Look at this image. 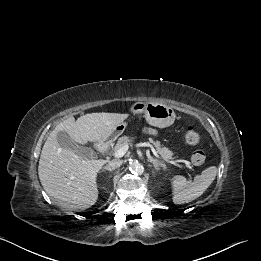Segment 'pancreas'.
Here are the masks:
<instances>
[{
  "instance_id": "1",
  "label": "pancreas",
  "mask_w": 261,
  "mask_h": 261,
  "mask_svg": "<svg viewBox=\"0 0 261 261\" xmlns=\"http://www.w3.org/2000/svg\"><path fill=\"white\" fill-rule=\"evenodd\" d=\"M133 140L134 138L126 135L120 137L116 145L113 147L114 152L121 148L123 145L129 144ZM148 140L149 144H152L156 148L157 153H159L164 160L168 161L173 159V152L170 151L167 147H163L160 141H154L152 138H149Z\"/></svg>"
}]
</instances>
